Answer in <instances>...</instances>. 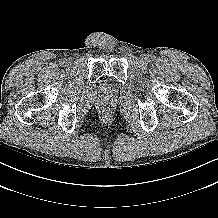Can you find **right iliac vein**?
Instances as JSON below:
<instances>
[{
	"label": "right iliac vein",
	"mask_w": 218,
	"mask_h": 218,
	"mask_svg": "<svg viewBox=\"0 0 218 218\" xmlns=\"http://www.w3.org/2000/svg\"><path fill=\"white\" fill-rule=\"evenodd\" d=\"M65 64L67 65L71 64V60L70 59L65 60Z\"/></svg>",
	"instance_id": "right-iliac-vein-1"
}]
</instances>
